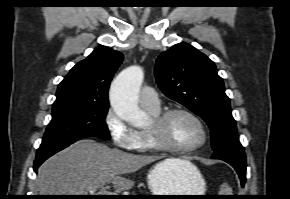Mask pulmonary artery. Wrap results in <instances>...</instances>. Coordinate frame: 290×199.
Returning a JSON list of instances; mask_svg holds the SVG:
<instances>
[{
  "label": "pulmonary artery",
  "mask_w": 290,
  "mask_h": 199,
  "mask_svg": "<svg viewBox=\"0 0 290 199\" xmlns=\"http://www.w3.org/2000/svg\"><path fill=\"white\" fill-rule=\"evenodd\" d=\"M140 105L149 110H158L160 108V100L157 92L150 86H144L139 93Z\"/></svg>",
  "instance_id": "obj_1"
}]
</instances>
